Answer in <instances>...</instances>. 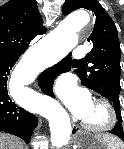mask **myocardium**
<instances>
[{"mask_svg": "<svg viewBox=\"0 0 124 149\" xmlns=\"http://www.w3.org/2000/svg\"><path fill=\"white\" fill-rule=\"evenodd\" d=\"M94 104L102 107L105 111V120L99 125H94L85 120L82 121V127L92 133L101 134L112 130L117 122V113L114 106L105 98H96Z\"/></svg>", "mask_w": 124, "mask_h": 149, "instance_id": "f54148a6", "label": "myocardium"}]
</instances>
